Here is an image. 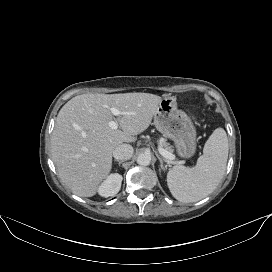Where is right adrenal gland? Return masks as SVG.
<instances>
[{
	"label": "right adrenal gland",
	"mask_w": 272,
	"mask_h": 272,
	"mask_svg": "<svg viewBox=\"0 0 272 272\" xmlns=\"http://www.w3.org/2000/svg\"><path fill=\"white\" fill-rule=\"evenodd\" d=\"M115 162H116V160H115ZM117 162H118V164L120 166L124 161L122 160V161H117Z\"/></svg>",
	"instance_id": "obj_1"
}]
</instances>
